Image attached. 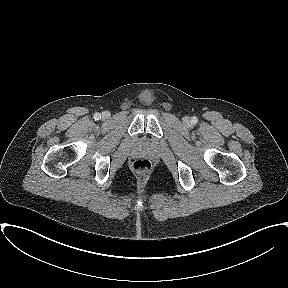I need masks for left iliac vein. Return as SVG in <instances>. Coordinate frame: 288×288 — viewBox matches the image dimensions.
<instances>
[{"label": "left iliac vein", "mask_w": 288, "mask_h": 288, "mask_svg": "<svg viewBox=\"0 0 288 288\" xmlns=\"http://www.w3.org/2000/svg\"><path fill=\"white\" fill-rule=\"evenodd\" d=\"M184 122L186 123V124H188L189 123V118H184Z\"/></svg>", "instance_id": "obj_1"}]
</instances>
